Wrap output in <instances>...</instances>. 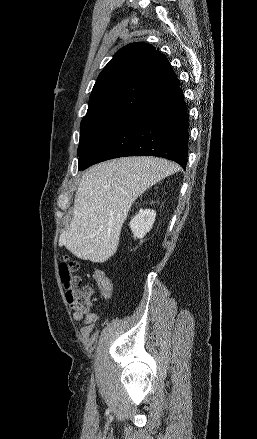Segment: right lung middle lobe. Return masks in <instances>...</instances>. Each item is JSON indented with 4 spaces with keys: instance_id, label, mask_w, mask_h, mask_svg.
<instances>
[{
    "instance_id": "dd1d6c3e",
    "label": "right lung middle lobe",
    "mask_w": 257,
    "mask_h": 439,
    "mask_svg": "<svg viewBox=\"0 0 257 439\" xmlns=\"http://www.w3.org/2000/svg\"><path fill=\"white\" fill-rule=\"evenodd\" d=\"M126 118L121 115L101 114L85 116L82 119L78 146L79 170L82 169L112 131Z\"/></svg>"
}]
</instances>
